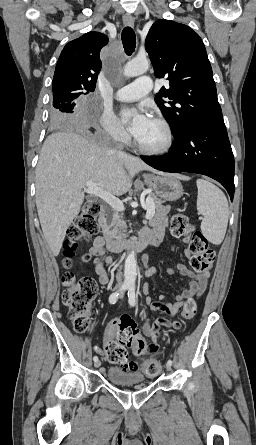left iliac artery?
<instances>
[{
	"label": "left iliac artery",
	"mask_w": 256,
	"mask_h": 445,
	"mask_svg": "<svg viewBox=\"0 0 256 445\" xmlns=\"http://www.w3.org/2000/svg\"><path fill=\"white\" fill-rule=\"evenodd\" d=\"M128 302L131 306H135L136 305V298H135V286L134 285H130L128 288ZM168 365H172V360H168L167 361Z\"/></svg>",
	"instance_id": "44dca946"
}]
</instances>
